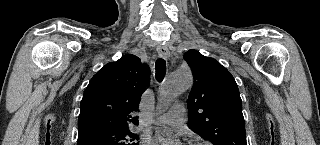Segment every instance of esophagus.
Listing matches in <instances>:
<instances>
[{
  "label": "esophagus",
  "mask_w": 320,
  "mask_h": 145,
  "mask_svg": "<svg viewBox=\"0 0 320 145\" xmlns=\"http://www.w3.org/2000/svg\"><path fill=\"white\" fill-rule=\"evenodd\" d=\"M157 52H158L159 56L162 57V58L167 59V58L170 57V51H169V49H168L166 46H164V45H159V46L157 47Z\"/></svg>",
  "instance_id": "34e87169"
}]
</instances>
